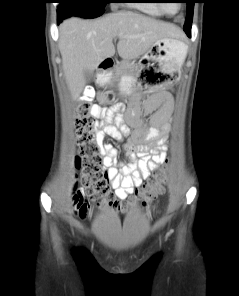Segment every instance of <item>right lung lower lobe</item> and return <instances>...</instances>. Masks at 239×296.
Here are the masks:
<instances>
[{
  "label": "right lung lower lobe",
  "instance_id": "right-lung-lower-lobe-1",
  "mask_svg": "<svg viewBox=\"0 0 239 296\" xmlns=\"http://www.w3.org/2000/svg\"><path fill=\"white\" fill-rule=\"evenodd\" d=\"M64 18L66 17L58 12V23H60Z\"/></svg>",
  "mask_w": 239,
  "mask_h": 296
}]
</instances>
